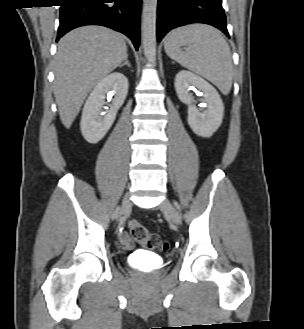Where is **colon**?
<instances>
[{
  "label": "colon",
  "instance_id": "colon-1",
  "mask_svg": "<svg viewBox=\"0 0 304 329\" xmlns=\"http://www.w3.org/2000/svg\"><path fill=\"white\" fill-rule=\"evenodd\" d=\"M129 232L137 243L149 250L166 252L169 248L167 241L163 240L158 234L150 232L138 221L132 220L129 222Z\"/></svg>",
  "mask_w": 304,
  "mask_h": 329
}]
</instances>
